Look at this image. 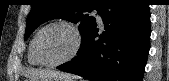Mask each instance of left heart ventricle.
Masks as SVG:
<instances>
[{
  "mask_svg": "<svg viewBox=\"0 0 169 81\" xmlns=\"http://www.w3.org/2000/svg\"><path fill=\"white\" fill-rule=\"evenodd\" d=\"M74 46L72 32L62 26L43 32L38 41L40 57L45 62H57L66 57Z\"/></svg>",
  "mask_w": 169,
  "mask_h": 81,
  "instance_id": "1",
  "label": "left heart ventricle"
}]
</instances>
